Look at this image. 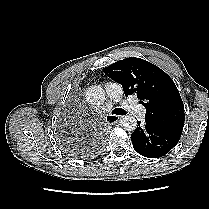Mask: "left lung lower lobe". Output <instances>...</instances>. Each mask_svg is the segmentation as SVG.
I'll use <instances>...</instances> for the list:
<instances>
[{"mask_svg": "<svg viewBox=\"0 0 209 209\" xmlns=\"http://www.w3.org/2000/svg\"><path fill=\"white\" fill-rule=\"evenodd\" d=\"M181 128L164 126L145 117L143 124L138 121L131 135L134 149L144 157L159 158L167 154L178 143Z\"/></svg>", "mask_w": 209, "mask_h": 209, "instance_id": "0a47b994", "label": "left lung lower lobe"}]
</instances>
